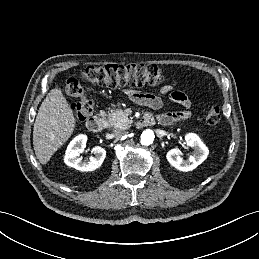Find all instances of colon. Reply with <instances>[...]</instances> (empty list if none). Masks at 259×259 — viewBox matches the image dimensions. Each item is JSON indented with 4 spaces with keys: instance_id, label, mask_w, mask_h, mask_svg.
I'll return each instance as SVG.
<instances>
[{
    "instance_id": "5ec220e1",
    "label": "colon",
    "mask_w": 259,
    "mask_h": 259,
    "mask_svg": "<svg viewBox=\"0 0 259 259\" xmlns=\"http://www.w3.org/2000/svg\"><path fill=\"white\" fill-rule=\"evenodd\" d=\"M81 77L88 83L111 88H140L159 84L163 79V74L156 65L130 64L88 66L82 71ZM62 90L66 95L77 99V102L72 105V110L78 120H85L93 113L94 103L87 96L79 80L68 78ZM220 119L221 113L218 106H212L206 112L205 120L209 125H216Z\"/></svg>"
}]
</instances>
